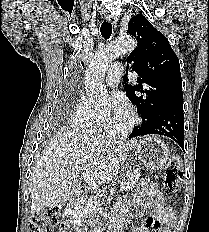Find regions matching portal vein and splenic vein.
Segmentation results:
<instances>
[{
    "mask_svg": "<svg viewBox=\"0 0 209 232\" xmlns=\"http://www.w3.org/2000/svg\"><path fill=\"white\" fill-rule=\"evenodd\" d=\"M79 171H81V169H79ZM81 174H82V178L88 183L91 189L95 190L98 193H101V190H98V185L96 184L94 177L89 172L82 171ZM126 184L127 183L125 181L122 182L120 189L126 190L127 189Z\"/></svg>",
    "mask_w": 209,
    "mask_h": 232,
    "instance_id": "18ae733b",
    "label": "portal vein and splenic vein"
}]
</instances>
